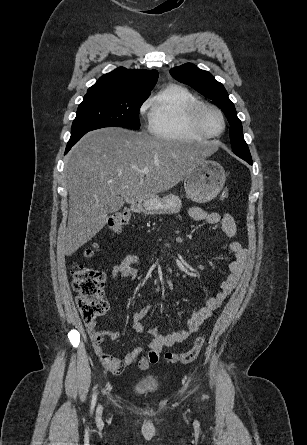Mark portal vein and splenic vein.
Here are the masks:
<instances>
[{
  "label": "portal vein and splenic vein",
  "mask_w": 307,
  "mask_h": 445,
  "mask_svg": "<svg viewBox=\"0 0 307 445\" xmlns=\"http://www.w3.org/2000/svg\"><path fill=\"white\" fill-rule=\"evenodd\" d=\"M140 172H143V174H147V172H149V168H141Z\"/></svg>",
  "instance_id": "obj_1"
}]
</instances>
